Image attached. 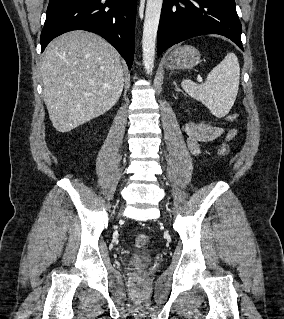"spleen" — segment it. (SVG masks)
<instances>
[{
	"mask_svg": "<svg viewBox=\"0 0 284 319\" xmlns=\"http://www.w3.org/2000/svg\"><path fill=\"white\" fill-rule=\"evenodd\" d=\"M240 80V66L234 53L226 57L207 75L203 84L191 80L181 83L184 91L192 98L200 101L210 112L218 117L227 115L234 105Z\"/></svg>",
	"mask_w": 284,
	"mask_h": 319,
	"instance_id": "spleen-1",
	"label": "spleen"
}]
</instances>
